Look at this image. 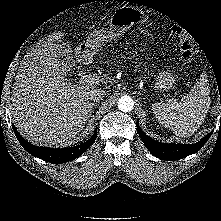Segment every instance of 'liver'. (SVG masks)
<instances>
[{
    "instance_id": "1",
    "label": "liver",
    "mask_w": 221,
    "mask_h": 221,
    "mask_svg": "<svg viewBox=\"0 0 221 221\" xmlns=\"http://www.w3.org/2000/svg\"><path fill=\"white\" fill-rule=\"evenodd\" d=\"M61 33L41 40L22 60L12 89V116L31 141L62 144L83 130L93 84L66 82L67 68L55 53Z\"/></svg>"
}]
</instances>
